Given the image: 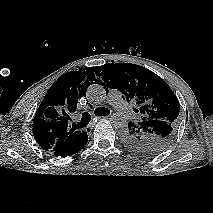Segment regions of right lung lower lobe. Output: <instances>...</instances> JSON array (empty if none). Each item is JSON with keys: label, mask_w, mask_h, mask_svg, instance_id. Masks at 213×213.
<instances>
[{"label": "right lung lower lobe", "mask_w": 213, "mask_h": 213, "mask_svg": "<svg viewBox=\"0 0 213 213\" xmlns=\"http://www.w3.org/2000/svg\"><path fill=\"white\" fill-rule=\"evenodd\" d=\"M87 141H88L87 133L84 132V134L78 140H76L73 144L69 145L66 148L56 150L53 152V154L58 157L71 156L77 153L78 151H80L86 145Z\"/></svg>", "instance_id": "1"}]
</instances>
